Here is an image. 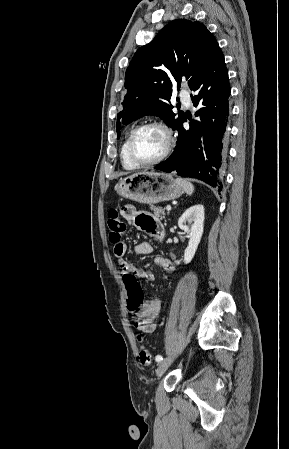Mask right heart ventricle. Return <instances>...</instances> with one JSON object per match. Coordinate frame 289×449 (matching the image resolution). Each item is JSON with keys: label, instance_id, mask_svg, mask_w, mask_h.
<instances>
[{"label": "right heart ventricle", "instance_id": "e07e8e85", "mask_svg": "<svg viewBox=\"0 0 289 449\" xmlns=\"http://www.w3.org/2000/svg\"><path fill=\"white\" fill-rule=\"evenodd\" d=\"M129 136H130V134L127 136V138L125 139V141L123 142V145L121 147V160H122V164L125 169L134 170L138 166L136 164H134L129 157V153H128Z\"/></svg>", "mask_w": 289, "mask_h": 449}]
</instances>
